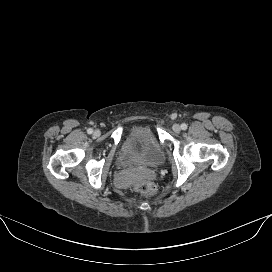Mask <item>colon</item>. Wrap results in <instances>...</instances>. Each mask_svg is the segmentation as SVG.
Instances as JSON below:
<instances>
[{
    "label": "colon",
    "mask_w": 272,
    "mask_h": 272,
    "mask_svg": "<svg viewBox=\"0 0 272 272\" xmlns=\"http://www.w3.org/2000/svg\"><path fill=\"white\" fill-rule=\"evenodd\" d=\"M134 189L146 197H152L156 194L157 188L152 182H139L135 184Z\"/></svg>",
    "instance_id": "obj_1"
}]
</instances>
